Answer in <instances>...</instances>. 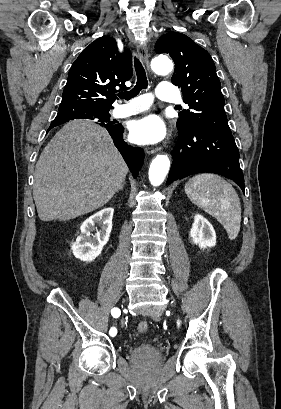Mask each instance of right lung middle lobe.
I'll list each match as a JSON object with an SVG mask.
<instances>
[{"mask_svg": "<svg viewBox=\"0 0 281 409\" xmlns=\"http://www.w3.org/2000/svg\"><path fill=\"white\" fill-rule=\"evenodd\" d=\"M101 116H102V119H99L100 122L103 123L105 121H109V118H110L109 112H102ZM69 120H73V119L72 118H57L56 117L55 120L51 123V126H50L49 129H51V128L55 127V126H58L60 124H63L65 122L69 121Z\"/></svg>", "mask_w": 281, "mask_h": 409, "instance_id": "1", "label": "right lung middle lobe"}]
</instances>
